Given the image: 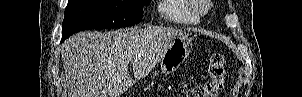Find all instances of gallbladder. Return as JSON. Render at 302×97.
<instances>
[{"label": "gallbladder", "instance_id": "obj_1", "mask_svg": "<svg viewBox=\"0 0 302 97\" xmlns=\"http://www.w3.org/2000/svg\"><path fill=\"white\" fill-rule=\"evenodd\" d=\"M100 97H106V95H102V94H100Z\"/></svg>", "mask_w": 302, "mask_h": 97}]
</instances>
